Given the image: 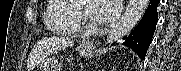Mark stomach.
Returning <instances> with one entry per match:
<instances>
[{
	"instance_id": "stomach-1",
	"label": "stomach",
	"mask_w": 181,
	"mask_h": 71,
	"mask_svg": "<svg viewBox=\"0 0 181 71\" xmlns=\"http://www.w3.org/2000/svg\"><path fill=\"white\" fill-rule=\"evenodd\" d=\"M79 54L81 57L89 59L94 56V50L90 46L80 47ZM40 71H60V68L51 61H46L40 65Z\"/></svg>"
}]
</instances>
